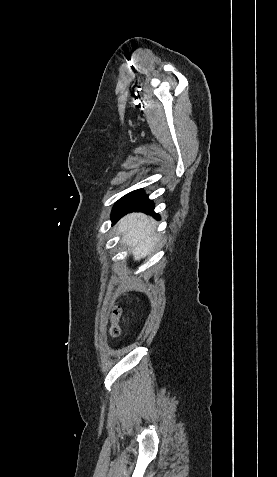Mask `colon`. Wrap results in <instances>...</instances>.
Masks as SVG:
<instances>
[{
    "instance_id": "colon-1",
    "label": "colon",
    "mask_w": 277,
    "mask_h": 477,
    "mask_svg": "<svg viewBox=\"0 0 277 477\" xmlns=\"http://www.w3.org/2000/svg\"><path fill=\"white\" fill-rule=\"evenodd\" d=\"M120 312L118 309L114 310L112 315H111V327H110V335L112 337H117L120 334V328L118 325V319H119Z\"/></svg>"
}]
</instances>
